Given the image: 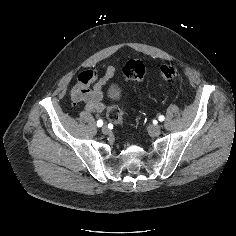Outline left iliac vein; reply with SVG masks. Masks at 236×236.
<instances>
[{"label":"left iliac vein","instance_id":"left-iliac-vein-1","mask_svg":"<svg viewBox=\"0 0 236 236\" xmlns=\"http://www.w3.org/2000/svg\"><path fill=\"white\" fill-rule=\"evenodd\" d=\"M148 131L152 136H157L161 133L160 125H151L148 127Z\"/></svg>","mask_w":236,"mask_h":236}]
</instances>
